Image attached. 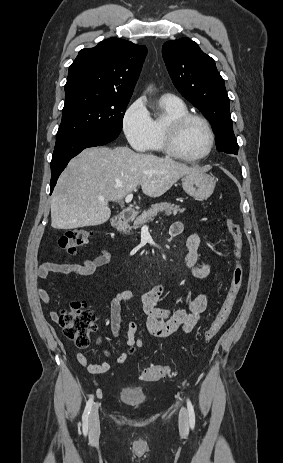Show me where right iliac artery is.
<instances>
[{"label":"right iliac artery","instance_id":"1","mask_svg":"<svg viewBox=\"0 0 283 463\" xmlns=\"http://www.w3.org/2000/svg\"><path fill=\"white\" fill-rule=\"evenodd\" d=\"M92 405H93V396H91L88 402L86 403V407L82 415V422H83L82 429H83L84 435H86L88 432V419H89V414H90Z\"/></svg>","mask_w":283,"mask_h":463}]
</instances>
